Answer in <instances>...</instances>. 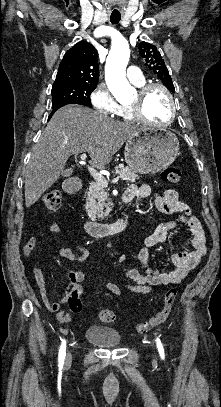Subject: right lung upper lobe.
Segmentation results:
<instances>
[{"label": "right lung upper lobe", "mask_w": 221, "mask_h": 407, "mask_svg": "<svg viewBox=\"0 0 221 407\" xmlns=\"http://www.w3.org/2000/svg\"><path fill=\"white\" fill-rule=\"evenodd\" d=\"M98 52L88 42H78L61 61L52 88L75 84H96L99 78Z\"/></svg>", "instance_id": "right-lung-upper-lobe-1"}]
</instances>
